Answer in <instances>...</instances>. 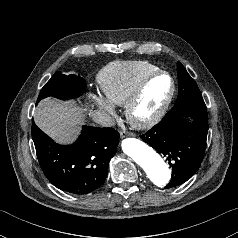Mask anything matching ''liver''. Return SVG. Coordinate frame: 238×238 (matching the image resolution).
Masks as SVG:
<instances>
[{
  "label": "liver",
  "mask_w": 238,
  "mask_h": 238,
  "mask_svg": "<svg viewBox=\"0 0 238 238\" xmlns=\"http://www.w3.org/2000/svg\"><path fill=\"white\" fill-rule=\"evenodd\" d=\"M37 126L59 142H69L81 120L80 108L68 106L53 98L42 100L34 114Z\"/></svg>",
  "instance_id": "1"
}]
</instances>
